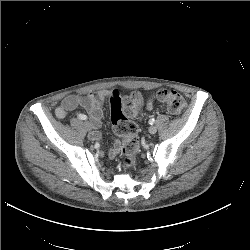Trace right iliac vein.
Listing matches in <instances>:
<instances>
[{
  "mask_svg": "<svg viewBox=\"0 0 250 250\" xmlns=\"http://www.w3.org/2000/svg\"><path fill=\"white\" fill-rule=\"evenodd\" d=\"M84 126L87 130H91L92 129V124L89 121H85L84 122Z\"/></svg>",
  "mask_w": 250,
  "mask_h": 250,
  "instance_id": "obj_1",
  "label": "right iliac vein"
}]
</instances>
